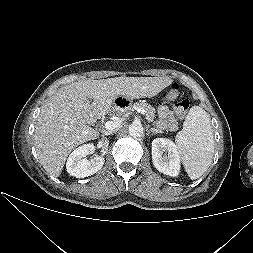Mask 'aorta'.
<instances>
[{"mask_svg": "<svg viewBox=\"0 0 253 253\" xmlns=\"http://www.w3.org/2000/svg\"><path fill=\"white\" fill-rule=\"evenodd\" d=\"M129 135L133 138H139L143 136L144 129L141 124L133 123L129 126Z\"/></svg>", "mask_w": 253, "mask_h": 253, "instance_id": "1", "label": "aorta"}]
</instances>
